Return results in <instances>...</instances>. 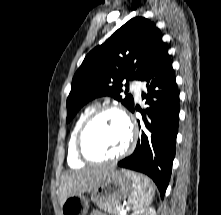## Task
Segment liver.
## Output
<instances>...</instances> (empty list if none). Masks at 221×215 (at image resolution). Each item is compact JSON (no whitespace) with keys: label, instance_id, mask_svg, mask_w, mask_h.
<instances>
[{"label":"liver","instance_id":"liver-1","mask_svg":"<svg viewBox=\"0 0 221 215\" xmlns=\"http://www.w3.org/2000/svg\"><path fill=\"white\" fill-rule=\"evenodd\" d=\"M112 170L102 166L66 174L59 187L60 205L70 196L91 192Z\"/></svg>","mask_w":221,"mask_h":215}]
</instances>
